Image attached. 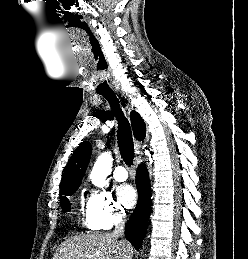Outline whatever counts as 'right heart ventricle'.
Masks as SVG:
<instances>
[{"mask_svg":"<svg viewBox=\"0 0 248 259\" xmlns=\"http://www.w3.org/2000/svg\"><path fill=\"white\" fill-rule=\"evenodd\" d=\"M83 221L84 223L91 229H93L91 226H90V223H89V220H88V214H87V211L85 214H83Z\"/></svg>","mask_w":248,"mask_h":259,"instance_id":"obj_1","label":"right heart ventricle"}]
</instances>
